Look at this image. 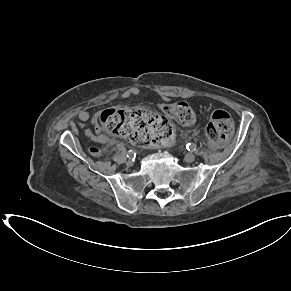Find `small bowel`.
Listing matches in <instances>:
<instances>
[{"label":"small bowel","mask_w":291,"mask_h":291,"mask_svg":"<svg viewBox=\"0 0 291 291\" xmlns=\"http://www.w3.org/2000/svg\"><path fill=\"white\" fill-rule=\"evenodd\" d=\"M78 118H79V122L82 123V122H86V121L91 120V115L88 111H81L78 115ZM84 134H85V136H87L91 140H93L99 144H102V145H108V144L112 143V139L110 137L101 133V130H100L99 126L97 125V123H95V131L94 132L91 129H85ZM94 150H98V152H100V150L96 147H91L89 149L90 152H92Z\"/></svg>","instance_id":"obj_1"}]
</instances>
